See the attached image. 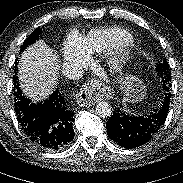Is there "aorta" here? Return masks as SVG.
<instances>
[{
	"label": "aorta",
	"instance_id": "obj_1",
	"mask_svg": "<svg viewBox=\"0 0 183 183\" xmlns=\"http://www.w3.org/2000/svg\"><path fill=\"white\" fill-rule=\"evenodd\" d=\"M96 113L102 118L110 117L112 114V107L108 102H99L96 105Z\"/></svg>",
	"mask_w": 183,
	"mask_h": 183
}]
</instances>
